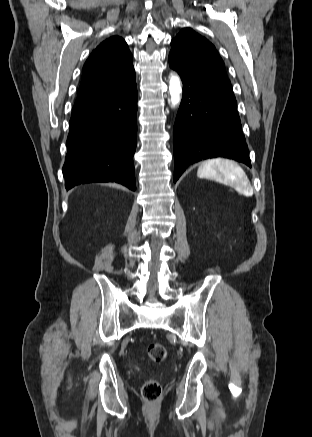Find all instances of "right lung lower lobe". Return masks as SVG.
Listing matches in <instances>:
<instances>
[{
  "label": "right lung lower lobe",
  "instance_id": "right-lung-lower-lobe-1",
  "mask_svg": "<svg viewBox=\"0 0 312 437\" xmlns=\"http://www.w3.org/2000/svg\"><path fill=\"white\" fill-rule=\"evenodd\" d=\"M137 97L134 74L115 91L72 109L63 166L67 190L92 182L136 189Z\"/></svg>",
  "mask_w": 312,
  "mask_h": 437
}]
</instances>
